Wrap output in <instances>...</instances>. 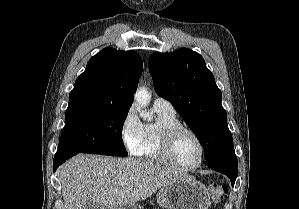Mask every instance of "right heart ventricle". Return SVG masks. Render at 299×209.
<instances>
[{"label": "right heart ventricle", "mask_w": 299, "mask_h": 209, "mask_svg": "<svg viewBox=\"0 0 299 209\" xmlns=\"http://www.w3.org/2000/svg\"><path fill=\"white\" fill-rule=\"evenodd\" d=\"M157 121L154 124L143 125L142 142L136 155L165 163L160 153V132L168 127L181 125L176 113H168L154 108Z\"/></svg>", "instance_id": "e07e8e85"}]
</instances>
